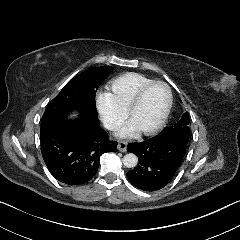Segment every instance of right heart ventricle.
Listing matches in <instances>:
<instances>
[{"mask_svg":"<svg viewBox=\"0 0 240 240\" xmlns=\"http://www.w3.org/2000/svg\"><path fill=\"white\" fill-rule=\"evenodd\" d=\"M152 80L144 75L128 72L110 80L105 94L123 112L134 99L137 91Z\"/></svg>","mask_w":240,"mask_h":240,"instance_id":"1","label":"right heart ventricle"}]
</instances>
